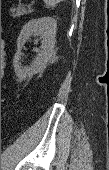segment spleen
I'll return each mask as SVG.
<instances>
[{
    "mask_svg": "<svg viewBox=\"0 0 109 170\" xmlns=\"http://www.w3.org/2000/svg\"><path fill=\"white\" fill-rule=\"evenodd\" d=\"M43 1L48 6H55L56 4L64 0H43Z\"/></svg>",
    "mask_w": 109,
    "mask_h": 170,
    "instance_id": "1",
    "label": "spleen"
}]
</instances>
